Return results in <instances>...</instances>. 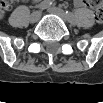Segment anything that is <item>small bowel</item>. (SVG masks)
Wrapping results in <instances>:
<instances>
[{
  "mask_svg": "<svg viewBox=\"0 0 103 103\" xmlns=\"http://www.w3.org/2000/svg\"><path fill=\"white\" fill-rule=\"evenodd\" d=\"M74 5L77 8H81V7H85L87 5V3L85 1H83V0H77V1H75ZM10 8H11V5L6 9V11H8Z\"/></svg>",
  "mask_w": 103,
  "mask_h": 103,
  "instance_id": "c3829d8e",
  "label": "small bowel"
}]
</instances>
